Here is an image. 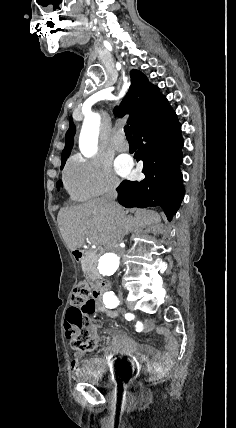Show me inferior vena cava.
<instances>
[{
	"mask_svg": "<svg viewBox=\"0 0 236 428\" xmlns=\"http://www.w3.org/2000/svg\"><path fill=\"white\" fill-rule=\"evenodd\" d=\"M118 182L117 180H110L108 186H107V194L105 196V202H106V206L107 208H110V210H113V212H115V210H117L118 214H120L119 212V206L118 204H116V202H114V200H116L117 198V192H116V186H117ZM114 240H117V237H114ZM113 250V252L115 253V255L119 256V257H125V249L122 248H115L114 249H110Z\"/></svg>",
	"mask_w": 236,
	"mask_h": 428,
	"instance_id": "602c4592",
	"label": "inferior vena cava"
}]
</instances>
